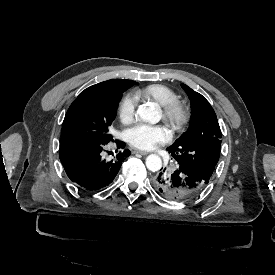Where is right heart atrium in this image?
Returning a JSON list of instances; mask_svg holds the SVG:
<instances>
[{
	"instance_id": "obj_1",
	"label": "right heart atrium",
	"mask_w": 275,
	"mask_h": 275,
	"mask_svg": "<svg viewBox=\"0 0 275 275\" xmlns=\"http://www.w3.org/2000/svg\"><path fill=\"white\" fill-rule=\"evenodd\" d=\"M138 100L135 96L127 94L123 96L119 103L118 113L123 124H130L135 118V110Z\"/></svg>"
}]
</instances>
